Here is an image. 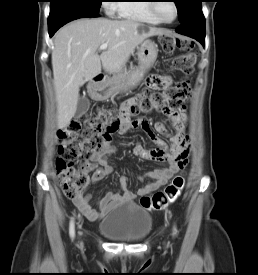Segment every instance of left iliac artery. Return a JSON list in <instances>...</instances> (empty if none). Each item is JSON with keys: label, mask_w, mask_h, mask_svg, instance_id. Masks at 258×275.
Masks as SVG:
<instances>
[{"label": "left iliac artery", "mask_w": 258, "mask_h": 275, "mask_svg": "<svg viewBox=\"0 0 258 275\" xmlns=\"http://www.w3.org/2000/svg\"><path fill=\"white\" fill-rule=\"evenodd\" d=\"M176 232H177L176 227H174V232H173V234L175 235V234H176Z\"/></svg>", "instance_id": "1"}]
</instances>
